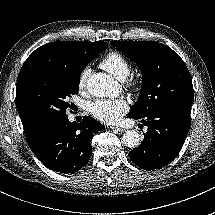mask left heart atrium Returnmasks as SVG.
Wrapping results in <instances>:
<instances>
[{
  "label": "left heart atrium",
  "instance_id": "obj_1",
  "mask_svg": "<svg viewBox=\"0 0 215 215\" xmlns=\"http://www.w3.org/2000/svg\"><path fill=\"white\" fill-rule=\"evenodd\" d=\"M125 99H99L91 104L90 113L104 123L118 122L128 111Z\"/></svg>",
  "mask_w": 215,
  "mask_h": 215
}]
</instances>
